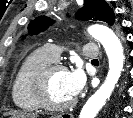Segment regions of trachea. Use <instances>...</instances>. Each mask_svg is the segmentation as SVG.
Here are the masks:
<instances>
[{
	"instance_id": "obj_1",
	"label": "trachea",
	"mask_w": 133,
	"mask_h": 118,
	"mask_svg": "<svg viewBox=\"0 0 133 118\" xmlns=\"http://www.w3.org/2000/svg\"><path fill=\"white\" fill-rule=\"evenodd\" d=\"M92 62H98V60L97 59H93Z\"/></svg>"
}]
</instances>
